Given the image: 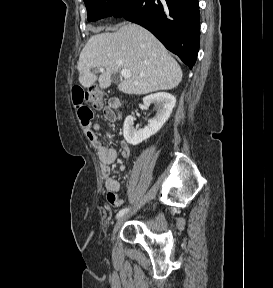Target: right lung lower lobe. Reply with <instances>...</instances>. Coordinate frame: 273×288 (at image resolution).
Here are the masks:
<instances>
[{
  "label": "right lung lower lobe",
  "instance_id": "right-lung-lower-lobe-1",
  "mask_svg": "<svg viewBox=\"0 0 273 288\" xmlns=\"http://www.w3.org/2000/svg\"><path fill=\"white\" fill-rule=\"evenodd\" d=\"M122 17L148 29L193 67L200 43L198 0H138Z\"/></svg>",
  "mask_w": 273,
  "mask_h": 288
}]
</instances>
